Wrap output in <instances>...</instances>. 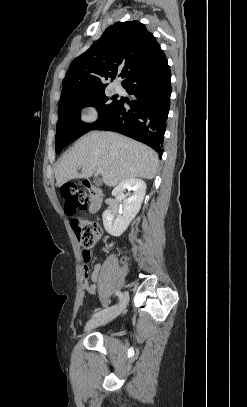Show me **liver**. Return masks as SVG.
<instances>
[{
	"instance_id": "obj_1",
	"label": "liver",
	"mask_w": 247,
	"mask_h": 407,
	"mask_svg": "<svg viewBox=\"0 0 247 407\" xmlns=\"http://www.w3.org/2000/svg\"><path fill=\"white\" fill-rule=\"evenodd\" d=\"M158 156L150 147L112 132H90L60 159L55 171L58 187L76 178H90L101 169L103 181L115 186L129 178L155 177ZM82 168L81 173L77 172Z\"/></svg>"
}]
</instances>
